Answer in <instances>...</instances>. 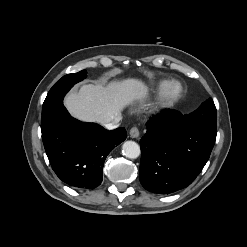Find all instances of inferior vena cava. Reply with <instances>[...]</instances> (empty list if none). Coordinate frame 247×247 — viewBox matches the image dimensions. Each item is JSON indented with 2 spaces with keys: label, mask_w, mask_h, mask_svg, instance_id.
Masks as SVG:
<instances>
[{
  "label": "inferior vena cava",
  "mask_w": 247,
  "mask_h": 247,
  "mask_svg": "<svg viewBox=\"0 0 247 247\" xmlns=\"http://www.w3.org/2000/svg\"><path fill=\"white\" fill-rule=\"evenodd\" d=\"M122 120V116L119 115L117 116L113 122H110V123H107V124H104L105 127L108 129V130H112V129H115L117 126H118V123Z\"/></svg>",
  "instance_id": "602c4592"
}]
</instances>
